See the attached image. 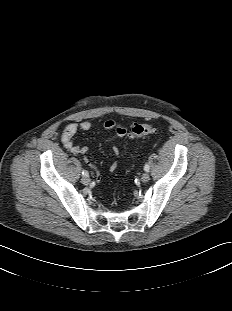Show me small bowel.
<instances>
[{"label":"small bowel","instance_id":"obj_1","mask_svg":"<svg viewBox=\"0 0 232 311\" xmlns=\"http://www.w3.org/2000/svg\"><path fill=\"white\" fill-rule=\"evenodd\" d=\"M92 127V122L90 121H83L81 123H69L62 135H61V142L64 147L71 152L72 154H81L85 155L88 152V148L86 146H80L74 143V136L78 132H85L88 131ZM104 129L107 131L113 130L118 136H124L126 134V130L124 127L120 126L113 120H108L104 123ZM114 154H118V149H113ZM116 165L113 164L111 169H115Z\"/></svg>","mask_w":232,"mask_h":311}]
</instances>
